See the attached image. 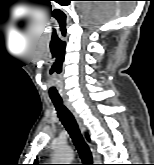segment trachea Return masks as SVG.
<instances>
[{
    "mask_svg": "<svg viewBox=\"0 0 154 165\" xmlns=\"http://www.w3.org/2000/svg\"><path fill=\"white\" fill-rule=\"evenodd\" d=\"M52 102L56 108L58 117L66 130L68 131L73 143L79 153L83 165H93L91 151L84 141V138L79 130L78 124L72 113L64 106L61 98H52Z\"/></svg>",
    "mask_w": 154,
    "mask_h": 165,
    "instance_id": "trachea-1",
    "label": "trachea"
}]
</instances>
